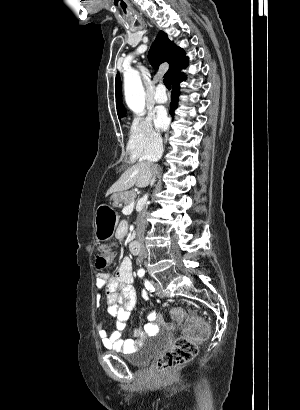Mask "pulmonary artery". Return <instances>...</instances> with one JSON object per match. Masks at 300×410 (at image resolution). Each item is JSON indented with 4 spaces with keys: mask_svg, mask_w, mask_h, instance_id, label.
Wrapping results in <instances>:
<instances>
[{
    "mask_svg": "<svg viewBox=\"0 0 300 410\" xmlns=\"http://www.w3.org/2000/svg\"><path fill=\"white\" fill-rule=\"evenodd\" d=\"M156 102L158 103H165L167 102L168 96L163 84H158L155 90L154 96Z\"/></svg>",
    "mask_w": 300,
    "mask_h": 410,
    "instance_id": "obj_1",
    "label": "pulmonary artery"
}]
</instances>
